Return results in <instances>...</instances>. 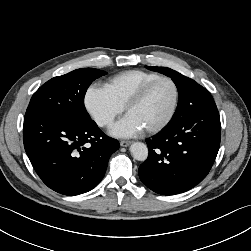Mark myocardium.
I'll return each mask as SVG.
<instances>
[{
  "label": "myocardium",
  "mask_w": 251,
  "mask_h": 251,
  "mask_svg": "<svg viewBox=\"0 0 251 251\" xmlns=\"http://www.w3.org/2000/svg\"><path fill=\"white\" fill-rule=\"evenodd\" d=\"M160 81H168L172 85L173 92H174L173 103H172V107H171L168 115L166 116V118L158 125H156L152 128L146 129L145 132L147 134H156V133L162 131L173 120V118L176 114L177 108H178L179 97H180L179 87H178L176 81L173 78H171L170 76L160 75V76L146 82L144 85H142L125 105V111H126V113H128V111L132 107L139 104L144 99V97L146 96L148 91L152 88V86H154L156 83H158Z\"/></svg>",
  "instance_id": "obj_1"
}]
</instances>
